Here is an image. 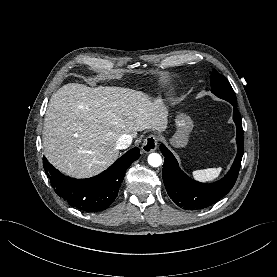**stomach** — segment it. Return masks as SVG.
I'll list each match as a JSON object with an SVG mask.
<instances>
[{"label": "stomach", "instance_id": "1", "mask_svg": "<svg viewBox=\"0 0 277 277\" xmlns=\"http://www.w3.org/2000/svg\"><path fill=\"white\" fill-rule=\"evenodd\" d=\"M177 133L173 136L172 142L176 146H185L188 142L190 131L193 128V121L190 116L180 114L176 119Z\"/></svg>", "mask_w": 277, "mask_h": 277}]
</instances>
